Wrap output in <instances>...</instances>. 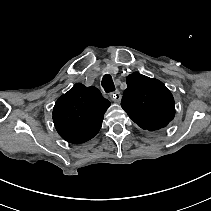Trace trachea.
<instances>
[{
  "label": "trachea",
  "instance_id": "1",
  "mask_svg": "<svg viewBox=\"0 0 211 211\" xmlns=\"http://www.w3.org/2000/svg\"><path fill=\"white\" fill-rule=\"evenodd\" d=\"M102 87L104 88L106 93L114 92L115 86L112 80L111 75L105 74L102 79Z\"/></svg>",
  "mask_w": 211,
  "mask_h": 211
}]
</instances>
